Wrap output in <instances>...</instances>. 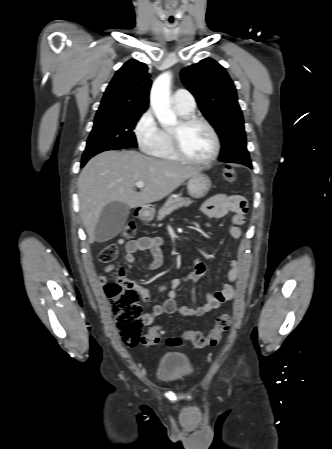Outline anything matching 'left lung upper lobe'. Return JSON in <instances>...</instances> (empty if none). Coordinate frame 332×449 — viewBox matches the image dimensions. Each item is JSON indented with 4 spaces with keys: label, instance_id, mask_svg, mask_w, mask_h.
<instances>
[{
    "label": "left lung upper lobe",
    "instance_id": "obj_1",
    "mask_svg": "<svg viewBox=\"0 0 332 449\" xmlns=\"http://www.w3.org/2000/svg\"><path fill=\"white\" fill-rule=\"evenodd\" d=\"M181 78L220 137V161L251 165L236 88L225 68L206 58L182 69Z\"/></svg>",
    "mask_w": 332,
    "mask_h": 449
}]
</instances>
